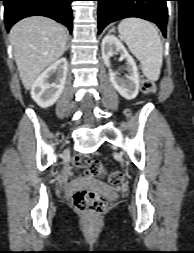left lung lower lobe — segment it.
Masks as SVG:
<instances>
[{"label": "left lung lower lobe", "mask_w": 194, "mask_h": 253, "mask_svg": "<svg viewBox=\"0 0 194 253\" xmlns=\"http://www.w3.org/2000/svg\"><path fill=\"white\" fill-rule=\"evenodd\" d=\"M98 1V33L111 22L139 17L156 23L166 37L168 0H96Z\"/></svg>", "instance_id": "left-lung-lower-lobe-1"}]
</instances>
